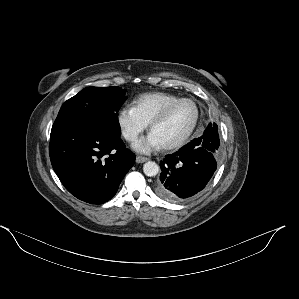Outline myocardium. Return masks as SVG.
I'll list each match as a JSON object with an SVG mask.
<instances>
[{
  "label": "myocardium",
  "instance_id": "myocardium-1",
  "mask_svg": "<svg viewBox=\"0 0 299 299\" xmlns=\"http://www.w3.org/2000/svg\"><path fill=\"white\" fill-rule=\"evenodd\" d=\"M183 102H190V103H192L194 105V107H195V117H194V120H193L190 128L179 139H177L176 141H174V142H172L170 144L162 146V148L164 150H174V149H177V148L181 147L183 144L186 143V141L193 134L194 130L197 127V124H198L199 119H200V114H201L200 107H199L198 103L194 99H192V98H187V97H185V98H179L176 101H173V102L167 104L149 123V131L151 132L152 129L156 125L160 124L161 122H163L168 117V115L170 114V112L175 107H177L179 104H181Z\"/></svg>",
  "mask_w": 299,
  "mask_h": 299
}]
</instances>
